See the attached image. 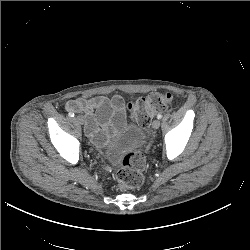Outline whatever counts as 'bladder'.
Masks as SVG:
<instances>
[{
    "label": "bladder",
    "instance_id": "bladder-1",
    "mask_svg": "<svg viewBox=\"0 0 250 250\" xmlns=\"http://www.w3.org/2000/svg\"><path fill=\"white\" fill-rule=\"evenodd\" d=\"M118 124L119 132L105 150L106 158L111 163L121 162L128 153L143 148L146 142L140 126L127 121Z\"/></svg>",
    "mask_w": 250,
    "mask_h": 250
}]
</instances>
